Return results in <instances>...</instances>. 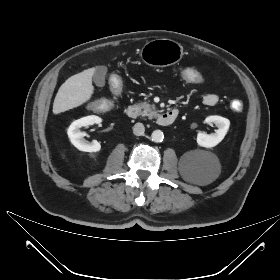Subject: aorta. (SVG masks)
Wrapping results in <instances>:
<instances>
[{
	"instance_id": "aorta-1",
	"label": "aorta",
	"mask_w": 280,
	"mask_h": 280,
	"mask_svg": "<svg viewBox=\"0 0 280 280\" xmlns=\"http://www.w3.org/2000/svg\"><path fill=\"white\" fill-rule=\"evenodd\" d=\"M163 138H164V134L161 130H155L151 134V140L153 142H157V143L161 142L163 140Z\"/></svg>"
}]
</instances>
